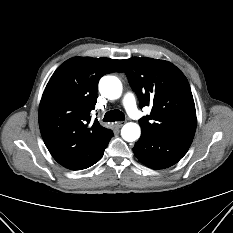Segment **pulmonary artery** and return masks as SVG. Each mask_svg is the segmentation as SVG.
<instances>
[{"instance_id": "1", "label": "pulmonary artery", "mask_w": 233, "mask_h": 233, "mask_svg": "<svg viewBox=\"0 0 233 233\" xmlns=\"http://www.w3.org/2000/svg\"><path fill=\"white\" fill-rule=\"evenodd\" d=\"M122 104L124 108L126 109V111L128 112V114L130 115V117L134 119L142 118V114L140 113V111L138 110L136 106L135 97L132 93L128 92L123 96Z\"/></svg>"}]
</instances>
